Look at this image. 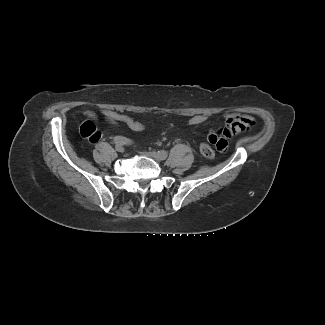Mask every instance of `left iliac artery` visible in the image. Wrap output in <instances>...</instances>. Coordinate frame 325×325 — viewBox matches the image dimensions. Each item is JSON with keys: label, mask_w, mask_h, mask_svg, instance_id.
<instances>
[{"label": "left iliac artery", "mask_w": 325, "mask_h": 325, "mask_svg": "<svg viewBox=\"0 0 325 325\" xmlns=\"http://www.w3.org/2000/svg\"><path fill=\"white\" fill-rule=\"evenodd\" d=\"M158 154L161 160H164L167 157V153L164 151H159Z\"/></svg>", "instance_id": "obj_1"}]
</instances>
